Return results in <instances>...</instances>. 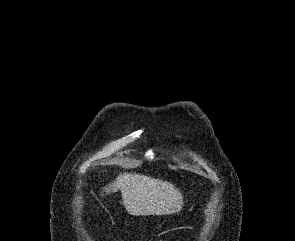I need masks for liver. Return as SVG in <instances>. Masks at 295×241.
<instances>
[{
    "label": "liver",
    "instance_id": "1",
    "mask_svg": "<svg viewBox=\"0 0 295 241\" xmlns=\"http://www.w3.org/2000/svg\"><path fill=\"white\" fill-rule=\"evenodd\" d=\"M118 189L125 209L133 216L166 215L182 209L181 192L162 180L125 172L105 186L103 192L107 195Z\"/></svg>",
    "mask_w": 295,
    "mask_h": 241
}]
</instances>
